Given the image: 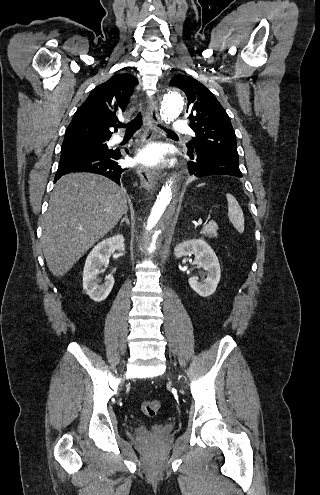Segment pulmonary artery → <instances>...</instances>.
<instances>
[{
  "instance_id": "obj_1",
  "label": "pulmonary artery",
  "mask_w": 320,
  "mask_h": 495,
  "mask_svg": "<svg viewBox=\"0 0 320 495\" xmlns=\"http://www.w3.org/2000/svg\"><path fill=\"white\" fill-rule=\"evenodd\" d=\"M173 129L176 130V131H185L187 129V123L185 120H177L173 123ZM123 140V137L122 136H115L113 139H112V142L113 143H119Z\"/></svg>"
}]
</instances>
